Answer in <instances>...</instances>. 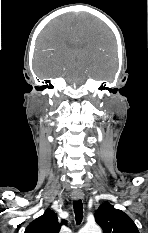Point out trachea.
Segmentation results:
<instances>
[{
  "mask_svg": "<svg viewBox=\"0 0 148 233\" xmlns=\"http://www.w3.org/2000/svg\"><path fill=\"white\" fill-rule=\"evenodd\" d=\"M76 223L79 225L83 219V204L81 199L73 201Z\"/></svg>",
  "mask_w": 148,
  "mask_h": 233,
  "instance_id": "3493384b",
  "label": "trachea"
}]
</instances>
